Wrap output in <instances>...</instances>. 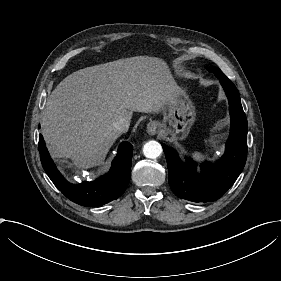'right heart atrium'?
Wrapping results in <instances>:
<instances>
[{
	"mask_svg": "<svg viewBox=\"0 0 281 281\" xmlns=\"http://www.w3.org/2000/svg\"><path fill=\"white\" fill-rule=\"evenodd\" d=\"M126 115H128L124 109L121 106H117L113 111V118H124Z\"/></svg>",
	"mask_w": 281,
	"mask_h": 281,
	"instance_id": "d8ad5b80",
	"label": "right heart atrium"
}]
</instances>
